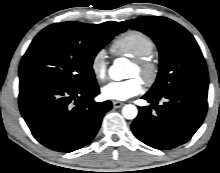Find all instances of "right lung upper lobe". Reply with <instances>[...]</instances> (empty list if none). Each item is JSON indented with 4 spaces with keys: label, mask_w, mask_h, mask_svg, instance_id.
Wrapping results in <instances>:
<instances>
[{
    "label": "right lung upper lobe",
    "mask_w": 220,
    "mask_h": 173,
    "mask_svg": "<svg viewBox=\"0 0 220 173\" xmlns=\"http://www.w3.org/2000/svg\"><path fill=\"white\" fill-rule=\"evenodd\" d=\"M94 27L97 29L112 28V29L118 31L119 33L126 30V28L123 25H121L120 23H117V22H106V23L94 25Z\"/></svg>",
    "instance_id": "right-lung-upper-lobe-1"
}]
</instances>
